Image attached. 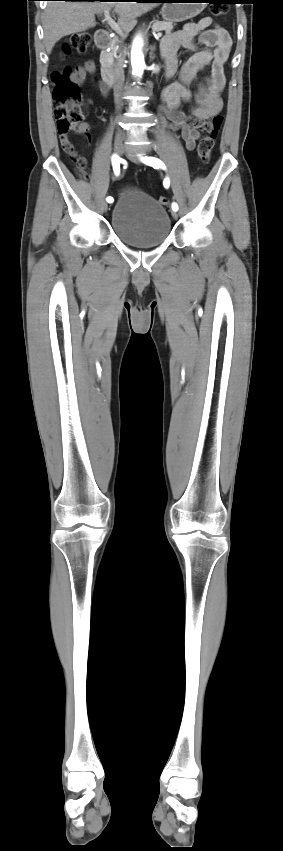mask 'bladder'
I'll list each match as a JSON object with an SVG mask.
<instances>
[{
  "mask_svg": "<svg viewBox=\"0 0 283 851\" xmlns=\"http://www.w3.org/2000/svg\"><path fill=\"white\" fill-rule=\"evenodd\" d=\"M111 226L119 240L135 248L156 247L171 232V222L165 207L136 188L125 190L116 200Z\"/></svg>",
  "mask_w": 283,
  "mask_h": 851,
  "instance_id": "bladder-1",
  "label": "bladder"
}]
</instances>
